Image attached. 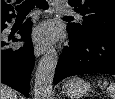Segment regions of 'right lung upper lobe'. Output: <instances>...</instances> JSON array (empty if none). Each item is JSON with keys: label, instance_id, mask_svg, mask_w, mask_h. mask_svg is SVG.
Returning <instances> with one entry per match:
<instances>
[{"label": "right lung upper lobe", "instance_id": "right-lung-upper-lobe-1", "mask_svg": "<svg viewBox=\"0 0 115 99\" xmlns=\"http://www.w3.org/2000/svg\"><path fill=\"white\" fill-rule=\"evenodd\" d=\"M17 3H20V0H17V2H15V4ZM12 7L13 4L10 3V0H1V22L15 16ZM11 11H13L12 14H10Z\"/></svg>", "mask_w": 115, "mask_h": 99}]
</instances>
